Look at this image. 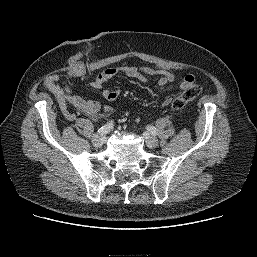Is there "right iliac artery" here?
Wrapping results in <instances>:
<instances>
[{"label": "right iliac artery", "instance_id": "82829eb1", "mask_svg": "<svg viewBox=\"0 0 257 257\" xmlns=\"http://www.w3.org/2000/svg\"><path fill=\"white\" fill-rule=\"evenodd\" d=\"M112 128H113V123L111 122L99 128L97 132L101 135L107 134L108 132H110Z\"/></svg>", "mask_w": 257, "mask_h": 257}]
</instances>
